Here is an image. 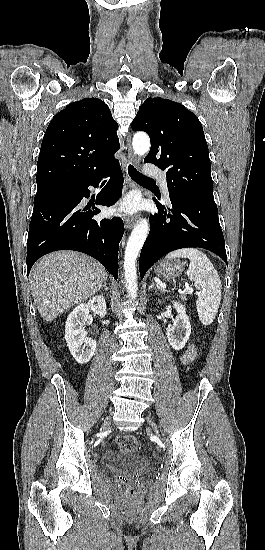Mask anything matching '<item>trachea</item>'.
Segmentation results:
<instances>
[{"label": "trachea", "instance_id": "trachea-1", "mask_svg": "<svg viewBox=\"0 0 265 550\" xmlns=\"http://www.w3.org/2000/svg\"><path fill=\"white\" fill-rule=\"evenodd\" d=\"M128 173L130 177L137 182L154 183V181L151 178H148L142 175L141 173H139L132 165L128 166Z\"/></svg>", "mask_w": 265, "mask_h": 550}]
</instances>
